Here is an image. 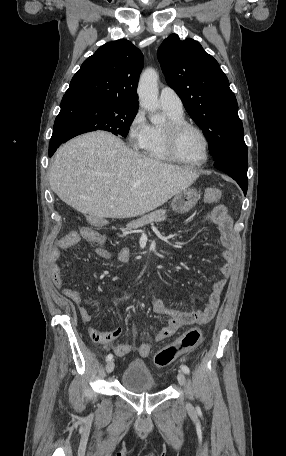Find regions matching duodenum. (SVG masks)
Here are the masks:
<instances>
[{
  "mask_svg": "<svg viewBox=\"0 0 286 456\" xmlns=\"http://www.w3.org/2000/svg\"><path fill=\"white\" fill-rule=\"evenodd\" d=\"M97 222H98L99 225H105V224H106V220H105V219H102V218H99V219L97 220Z\"/></svg>",
  "mask_w": 286,
  "mask_h": 456,
  "instance_id": "1",
  "label": "duodenum"
}]
</instances>
